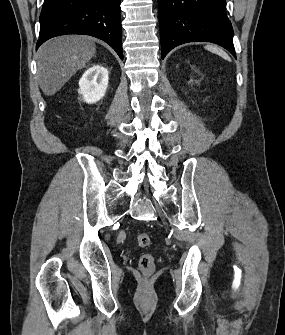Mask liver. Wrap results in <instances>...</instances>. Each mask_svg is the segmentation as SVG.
<instances>
[{"label":"liver","mask_w":285,"mask_h":335,"mask_svg":"<svg viewBox=\"0 0 285 335\" xmlns=\"http://www.w3.org/2000/svg\"><path fill=\"white\" fill-rule=\"evenodd\" d=\"M96 46L89 36H61L43 44L37 52L39 86L45 96H54L93 58Z\"/></svg>","instance_id":"liver-1"}]
</instances>
